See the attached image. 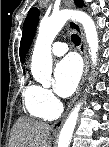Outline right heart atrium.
Wrapping results in <instances>:
<instances>
[{"label": "right heart atrium", "instance_id": "1", "mask_svg": "<svg viewBox=\"0 0 109 147\" xmlns=\"http://www.w3.org/2000/svg\"><path fill=\"white\" fill-rule=\"evenodd\" d=\"M35 98L41 106L50 111H55L58 109V100L54 96L53 92L48 88L37 86Z\"/></svg>", "mask_w": 109, "mask_h": 147}]
</instances>
